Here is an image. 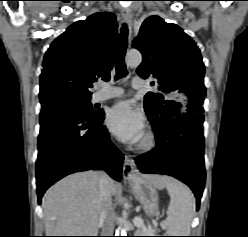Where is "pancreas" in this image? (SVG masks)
Segmentation results:
<instances>
[{
    "label": "pancreas",
    "instance_id": "obj_1",
    "mask_svg": "<svg viewBox=\"0 0 248 237\" xmlns=\"http://www.w3.org/2000/svg\"><path fill=\"white\" fill-rule=\"evenodd\" d=\"M162 226H164V224H162ZM136 233H138L141 236H148V235H154V233H156V230L154 229L148 230L145 227L140 226L138 227Z\"/></svg>",
    "mask_w": 248,
    "mask_h": 237
}]
</instances>
